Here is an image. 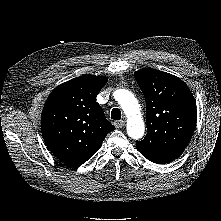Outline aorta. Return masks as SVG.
<instances>
[{"label":"aorta","mask_w":221,"mask_h":221,"mask_svg":"<svg viewBox=\"0 0 221 221\" xmlns=\"http://www.w3.org/2000/svg\"><path fill=\"white\" fill-rule=\"evenodd\" d=\"M117 101L127 117V134L130 138L139 139L145 131L140 112V104L136 97L126 89L118 91Z\"/></svg>","instance_id":"762f6f07"}]
</instances>
